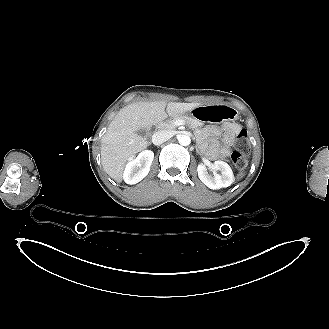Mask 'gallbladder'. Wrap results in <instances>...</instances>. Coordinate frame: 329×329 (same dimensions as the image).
I'll return each mask as SVG.
<instances>
[{
	"mask_svg": "<svg viewBox=\"0 0 329 329\" xmlns=\"http://www.w3.org/2000/svg\"><path fill=\"white\" fill-rule=\"evenodd\" d=\"M138 135L144 137L147 133V130L145 128H141L136 132Z\"/></svg>",
	"mask_w": 329,
	"mask_h": 329,
	"instance_id": "bac80fb5",
	"label": "gallbladder"
}]
</instances>
